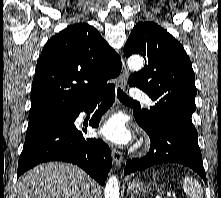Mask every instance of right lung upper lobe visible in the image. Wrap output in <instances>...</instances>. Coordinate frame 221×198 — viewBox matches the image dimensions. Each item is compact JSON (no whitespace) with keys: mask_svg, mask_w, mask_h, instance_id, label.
Here are the masks:
<instances>
[{"mask_svg":"<svg viewBox=\"0 0 221 198\" xmlns=\"http://www.w3.org/2000/svg\"><path fill=\"white\" fill-rule=\"evenodd\" d=\"M121 60L89 24L68 26L53 36L38 59L32 82L29 123L74 114L114 87L107 80Z\"/></svg>","mask_w":221,"mask_h":198,"instance_id":"obj_1","label":"right lung upper lobe"}]
</instances>
